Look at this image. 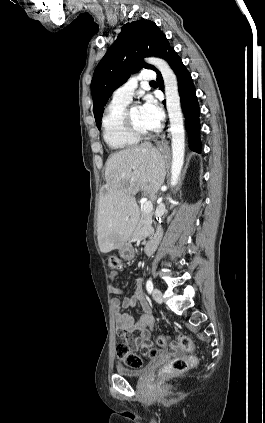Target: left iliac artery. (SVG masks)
<instances>
[{"label":"left iliac artery","mask_w":265,"mask_h":423,"mask_svg":"<svg viewBox=\"0 0 265 423\" xmlns=\"http://www.w3.org/2000/svg\"><path fill=\"white\" fill-rule=\"evenodd\" d=\"M146 289H147L148 293H151L153 291V283L150 279L147 280Z\"/></svg>","instance_id":"44dca946"}]
</instances>
